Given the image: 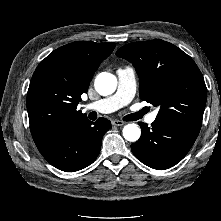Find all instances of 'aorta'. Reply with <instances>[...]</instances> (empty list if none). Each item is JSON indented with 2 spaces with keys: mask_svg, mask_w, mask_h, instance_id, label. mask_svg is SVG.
I'll return each mask as SVG.
<instances>
[{
  "mask_svg": "<svg viewBox=\"0 0 221 221\" xmlns=\"http://www.w3.org/2000/svg\"><path fill=\"white\" fill-rule=\"evenodd\" d=\"M94 86L100 95H110L116 90L117 78L111 73L102 72L95 78ZM123 136L127 141L136 142L141 136V129L136 124H127L123 128Z\"/></svg>",
  "mask_w": 221,
  "mask_h": 221,
  "instance_id": "1",
  "label": "aorta"
}]
</instances>
